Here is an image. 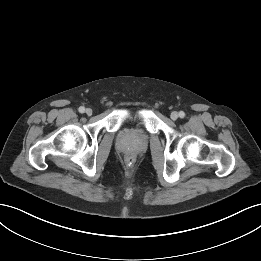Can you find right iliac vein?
<instances>
[{"mask_svg":"<svg viewBox=\"0 0 261 261\" xmlns=\"http://www.w3.org/2000/svg\"><path fill=\"white\" fill-rule=\"evenodd\" d=\"M85 113H86L88 116L92 115V109L87 108L86 111H85Z\"/></svg>","mask_w":261,"mask_h":261,"instance_id":"right-iliac-vein-1","label":"right iliac vein"}]
</instances>
